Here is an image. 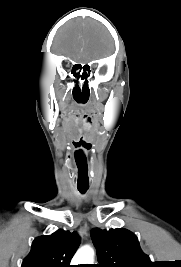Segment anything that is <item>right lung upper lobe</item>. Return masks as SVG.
<instances>
[{
	"mask_svg": "<svg viewBox=\"0 0 181 267\" xmlns=\"http://www.w3.org/2000/svg\"><path fill=\"white\" fill-rule=\"evenodd\" d=\"M80 244L77 233L58 230L52 235L37 237L22 267H71L70 261Z\"/></svg>",
	"mask_w": 181,
	"mask_h": 267,
	"instance_id": "1",
	"label": "right lung upper lobe"
}]
</instances>
